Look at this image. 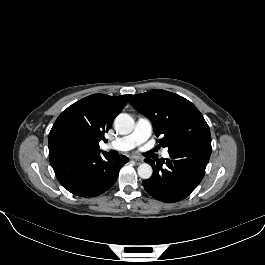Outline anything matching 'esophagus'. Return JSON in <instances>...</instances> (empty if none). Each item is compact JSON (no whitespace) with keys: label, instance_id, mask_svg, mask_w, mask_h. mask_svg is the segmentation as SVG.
Here are the masks:
<instances>
[{"label":"esophagus","instance_id":"1","mask_svg":"<svg viewBox=\"0 0 265 265\" xmlns=\"http://www.w3.org/2000/svg\"><path fill=\"white\" fill-rule=\"evenodd\" d=\"M132 160L137 164H141L143 162V159L142 158H138V157H133Z\"/></svg>","mask_w":265,"mask_h":265}]
</instances>
